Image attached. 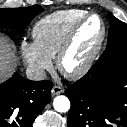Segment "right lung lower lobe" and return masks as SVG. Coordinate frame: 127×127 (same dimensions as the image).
I'll return each mask as SVG.
<instances>
[{
  "label": "right lung lower lobe",
  "instance_id": "1",
  "mask_svg": "<svg viewBox=\"0 0 127 127\" xmlns=\"http://www.w3.org/2000/svg\"><path fill=\"white\" fill-rule=\"evenodd\" d=\"M53 83L30 81L15 73L0 85V127H32L51 98Z\"/></svg>",
  "mask_w": 127,
  "mask_h": 127
}]
</instances>
